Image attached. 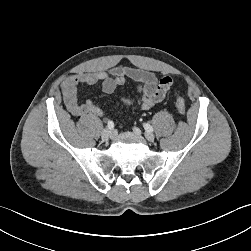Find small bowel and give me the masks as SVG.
<instances>
[{"instance_id":"1","label":"small bowel","mask_w":251,"mask_h":251,"mask_svg":"<svg viewBox=\"0 0 251 251\" xmlns=\"http://www.w3.org/2000/svg\"><path fill=\"white\" fill-rule=\"evenodd\" d=\"M132 80L137 85V98H123L122 105L132 110L147 111L161 102L173 81L169 76L160 79L148 70L129 66H115L108 71L81 72L67 77L62 82V92L67 109L74 116H103V110L92 100L80 102L78 86L101 84L103 92L112 94L126 80Z\"/></svg>"}]
</instances>
